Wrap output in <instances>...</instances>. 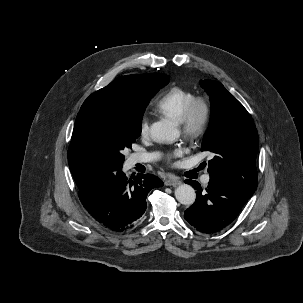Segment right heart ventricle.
<instances>
[{"label":"right heart ventricle","mask_w":303,"mask_h":303,"mask_svg":"<svg viewBox=\"0 0 303 303\" xmlns=\"http://www.w3.org/2000/svg\"><path fill=\"white\" fill-rule=\"evenodd\" d=\"M195 98L194 93L182 87L173 86L168 88L156 102L159 113L179 120L187 105Z\"/></svg>","instance_id":"right-heart-ventricle-1"}]
</instances>
